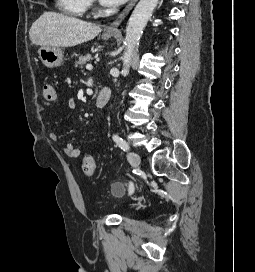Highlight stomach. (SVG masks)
<instances>
[{"instance_id": "1", "label": "stomach", "mask_w": 255, "mask_h": 272, "mask_svg": "<svg viewBox=\"0 0 255 272\" xmlns=\"http://www.w3.org/2000/svg\"><path fill=\"white\" fill-rule=\"evenodd\" d=\"M113 34L103 33L102 39L108 40ZM39 59L48 68H55L62 64L63 51L60 47L42 46L38 50Z\"/></svg>"}]
</instances>
